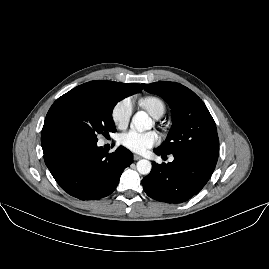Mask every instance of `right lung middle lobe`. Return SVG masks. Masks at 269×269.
I'll return each instance as SVG.
<instances>
[{
    "mask_svg": "<svg viewBox=\"0 0 269 269\" xmlns=\"http://www.w3.org/2000/svg\"><path fill=\"white\" fill-rule=\"evenodd\" d=\"M119 101L107 95L71 90L53 103L45 123L67 126L83 139L98 141L99 134L108 136L116 131L112 111Z\"/></svg>",
    "mask_w": 269,
    "mask_h": 269,
    "instance_id": "1",
    "label": "right lung middle lobe"
}]
</instances>
